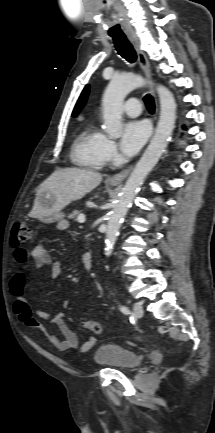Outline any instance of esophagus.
I'll return each instance as SVG.
<instances>
[{
    "instance_id": "esophagus-1",
    "label": "esophagus",
    "mask_w": 215,
    "mask_h": 433,
    "mask_svg": "<svg viewBox=\"0 0 215 433\" xmlns=\"http://www.w3.org/2000/svg\"><path fill=\"white\" fill-rule=\"evenodd\" d=\"M127 36H128L129 41L132 43V45H133V47L137 53L140 67L144 71L146 77L148 79H151L150 65H149V62H148V59H147L145 52L141 49L139 37L137 36V34L135 32H130L127 34ZM150 91H151L152 95L154 96V100H155V104H156V111H157L158 103H157L156 95H155V92H154V89L152 86L150 87ZM131 170H132V167H128V168L122 170L121 172L113 175L109 179V183L111 185L121 184L127 178V176L130 174Z\"/></svg>"
}]
</instances>
